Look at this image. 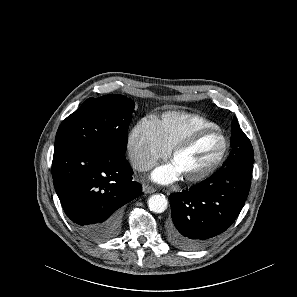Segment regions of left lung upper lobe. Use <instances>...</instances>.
<instances>
[{"label":"left lung upper lobe","mask_w":297,"mask_h":297,"mask_svg":"<svg viewBox=\"0 0 297 297\" xmlns=\"http://www.w3.org/2000/svg\"><path fill=\"white\" fill-rule=\"evenodd\" d=\"M231 147L232 150L224 162L223 168L253 166V147L248 137L241 130L236 117H234L231 124Z\"/></svg>","instance_id":"left-lung-upper-lobe-1"}]
</instances>
